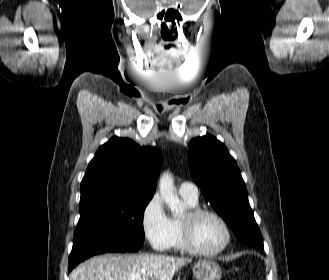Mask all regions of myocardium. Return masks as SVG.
<instances>
[{"label": "myocardium", "mask_w": 329, "mask_h": 280, "mask_svg": "<svg viewBox=\"0 0 329 280\" xmlns=\"http://www.w3.org/2000/svg\"><path fill=\"white\" fill-rule=\"evenodd\" d=\"M206 215L215 218L222 225L225 231L224 243L214 251H206L201 249L200 247H198L194 239V225L200 217ZM180 232L181 241L184 249L193 255L201 257L218 256L222 254L232 242V231L227 221L217 211L208 208H189L183 215V217L180 219Z\"/></svg>", "instance_id": "obj_1"}]
</instances>
